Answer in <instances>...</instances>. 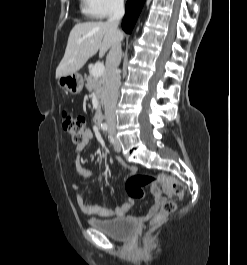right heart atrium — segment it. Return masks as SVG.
I'll list each match as a JSON object with an SVG mask.
<instances>
[{"label":"right heart atrium","mask_w":247,"mask_h":265,"mask_svg":"<svg viewBox=\"0 0 247 265\" xmlns=\"http://www.w3.org/2000/svg\"><path fill=\"white\" fill-rule=\"evenodd\" d=\"M84 12L95 19H103L119 12L123 0H82Z\"/></svg>","instance_id":"d8ad5b80"}]
</instances>
